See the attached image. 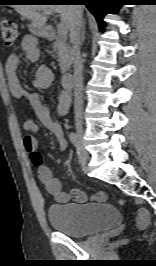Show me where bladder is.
I'll list each match as a JSON object with an SVG mask.
<instances>
[{"label": "bladder", "mask_w": 156, "mask_h": 266, "mask_svg": "<svg viewBox=\"0 0 156 266\" xmlns=\"http://www.w3.org/2000/svg\"><path fill=\"white\" fill-rule=\"evenodd\" d=\"M47 216L53 228L71 237L101 232L121 221L119 211L110 204H53Z\"/></svg>", "instance_id": "obj_1"}]
</instances>
